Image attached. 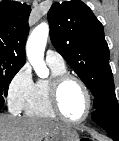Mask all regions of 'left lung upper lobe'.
Returning <instances> with one entry per match:
<instances>
[{"label":"left lung upper lobe","mask_w":119,"mask_h":141,"mask_svg":"<svg viewBox=\"0 0 119 141\" xmlns=\"http://www.w3.org/2000/svg\"><path fill=\"white\" fill-rule=\"evenodd\" d=\"M50 38L91 91L94 108L115 98L103 25L80 0L54 3L48 12Z\"/></svg>","instance_id":"obj_1"}]
</instances>
